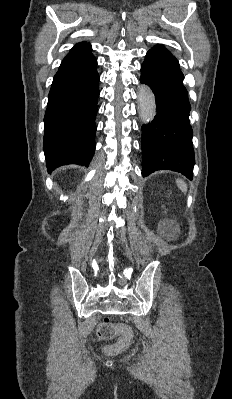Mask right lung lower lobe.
Segmentation results:
<instances>
[{"label": "right lung lower lobe", "mask_w": 232, "mask_h": 399, "mask_svg": "<svg viewBox=\"0 0 232 399\" xmlns=\"http://www.w3.org/2000/svg\"><path fill=\"white\" fill-rule=\"evenodd\" d=\"M91 51L70 52L54 76L45 113L47 169L88 166L95 150L99 75Z\"/></svg>", "instance_id": "1"}]
</instances>
